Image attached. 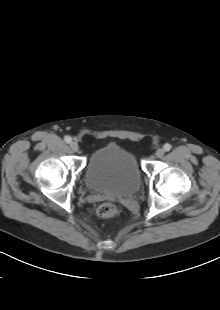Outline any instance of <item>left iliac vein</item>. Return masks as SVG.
I'll return each mask as SVG.
<instances>
[{
    "mask_svg": "<svg viewBox=\"0 0 220 310\" xmlns=\"http://www.w3.org/2000/svg\"><path fill=\"white\" fill-rule=\"evenodd\" d=\"M164 153H165L164 149H158L156 151L155 155H156V157L161 158V157H163Z\"/></svg>",
    "mask_w": 220,
    "mask_h": 310,
    "instance_id": "obj_1",
    "label": "left iliac vein"
}]
</instances>
